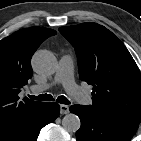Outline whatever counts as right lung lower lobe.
<instances>
[{
    "label": "right lung lower lobe",
    "mask_w": 141,
    "mask_h": 141,
    "mask_svg": "<svg viewBox=\"0 0 141 141\" xmlns=\"http://www.w3.org/2000/svg\"><path fill=\"white\" fill-rule=\"evenodd\" d=\"M60 113L57 103H42L24 116L13 128L0 136V141H37L40 130Z\"/></svg>",
    "instance_id": "obj_1"
}]
</instances>
